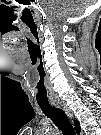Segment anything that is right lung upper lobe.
<instances>
[{
	"mask_svg": "<svg viewBox=\"0 0 101 135\" xmlns=\"http://www.w3.org/2000/svg\"><path fill=\"white\" fill-rule=\"evenodd\" d=\"M75 129H76L77 133H79V132H80V130H81V128H80V124H79V122H78V121H75Z\"/></svg>",
	"mask_w": 101,
	"mask_h": 135,
	"instance_id": "1",
	"label": "right lung upper lobe"
}]
</instances>
